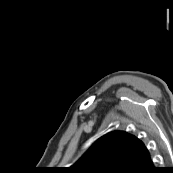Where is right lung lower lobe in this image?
<instances>
[{
    "label": "right lung lower lobe",
    "mask_w": 173,
    "mask_h": 173,
    "mask_svg": "<svg viewBox=\"0 0 173 173\" xmlns=\"http://www.w3.org/2000/svg\"><path fill=\"white\" fill-rule=\"evenodd\" d=\"M125 173H157L150 156L131 166Z\"/></svg>",
    "instance_id": "right-lung-lower-lobe-1"
}]
</instances>
